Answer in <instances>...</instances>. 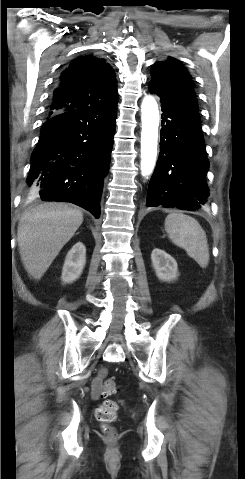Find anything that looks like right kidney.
I'll use <instances>...</instances> for the list:
<instances>
[{"instance_id": "ca27d5eb", "label": "right kidney", "mask_w": 245, "mask_h": 479, "mask_svg": "<svg viewBox=\"0 0 245 479\" xmlns=\"http://www.w3.org/2000/svg\"><path fill=\"white\" fill-rule=\"evenodd\" d=\"M86 264V248L77 242L68 252L62 269L61 279L64 284L72 283L80 277Z\"/></svg>"}]
</instances>
